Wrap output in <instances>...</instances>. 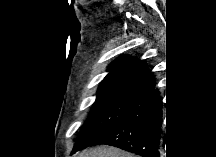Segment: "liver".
Listing matches in <instances>:
<instances>
[{
    "mask_svg": "<svg viewBox=\"0 0 216 157\" xmlns=\"http://www.w3.org/2000/svg\"><path fill=\"white\" fill-rule=\"evenodd\" d=\"M79 157H135L134 154L124 152L118 148L109 146H100L97 148L85 150L79 154Z\"/></svg>",
    "mask_w": 216,
    "mask_h": 157,
    "instance_id": "6515ba94",
    "label": "liver"
}]
</instances>
